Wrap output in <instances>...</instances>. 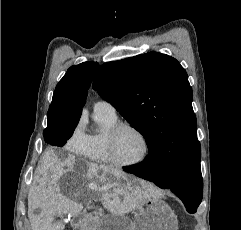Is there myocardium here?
I'll use <instances>...</instances> for the list:
<instances>
[{
  "mask_svg": "<svg viewBox=\"0 0 241 230\" xmlns=\"http://www.w3.org/2000/svg\"><path fill=\"white\" fill-rule=\"evenodd\" d=\"M123 129H130L134 131L143 141L144 151L142 156L137 160L125 162V161L119 160L116 157V153H115L116 137L119 134V132ZM105 145H106V151L111 163L120 167H131V166L139 165L146 160L150 152V144L147 136L144 134V132L141 129H139L137 126L129 122H116L107 131L106 138H105Z\"/></svg>",
  "mask_w": 241,
  "mask_h": 230,
  "instance_id": "f54148a6",
  "label": "myocardium"
}]
</instances>
